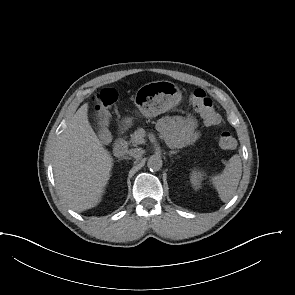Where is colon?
<instances>
[{"instance_id":"5ec220e1","label":"colon","mask_w":295,"mask_h":295,"mask_svg":"<svg viewBox=\"0 0 295 295\" xmlns=\"http://www.w3.org/2000/svg\"><path fill=\"white\" fill-rule=\"evenodd\" d=\"M117 93L112 88L103 89L96 96V112L100 123H104L109 115V108L115 103ZM192 106L200 113L205 123L209 126H219L221 117L216 111L212 99L202 89H196L190 94ZM101 138L106 139L104 131L101 132ZM219 146L223 150H232L236 147V140L228 131H223L218 139Z\"/></svg>"}]
</instances>
